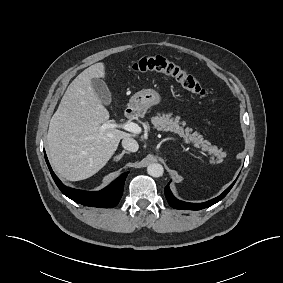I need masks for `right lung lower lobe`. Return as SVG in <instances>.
<instances>
[{
    "instance_id": "right-lung-lower-lobe-1",
    "label": "right lung lower lobe",
    "mask_w": 283,
    "mask_h": 283,
    "mask_svg": "<svg viewBox=\"0 0 283 283\" xmlns=\"http://www.w3.org/2000/svg\"><path fill=\"white\" fill-rule=\"evenodd\" d=\"M45 160L50 170V173L61 192L73 201L93 207L112 208L116 206L121 199L125 179L129 172L123 173L114 180L108 187L100 191H82L66 187L54 174L48 162L46 153Z\"/></svg>"
}]
</instances>
